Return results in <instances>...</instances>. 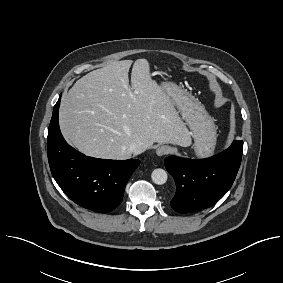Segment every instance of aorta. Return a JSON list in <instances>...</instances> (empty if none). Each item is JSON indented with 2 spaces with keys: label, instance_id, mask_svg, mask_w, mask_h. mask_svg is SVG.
<instances>
[{
  "label": "aorta",
  "instance_id": "obj_1",
  "mask_svg": "<svg viewBox=\"0 0 283 283\" xmlns=\"http://www.w3.org/2000/svg\"><path fill=\"white\" fill-rule=\"evenodd\" d=\"M152 181L157 185L165 184L167 181V172L161 168L154 169L151 174Z\"/></svg>",
  "mask_w": 283,
  "mask_h": 283
}]
</instances>
